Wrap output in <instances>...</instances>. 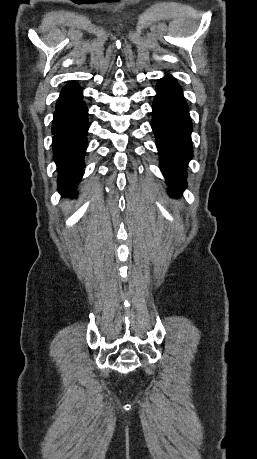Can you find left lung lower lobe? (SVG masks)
I'll return each instance as SVG.
<instances>
[{
	"label": "left lung lower lobe",
	"mask_w": 257,
	"mask_h": 459,
	"mask_svg": "<svg viewBox=\"0 0 257 459\" xmlns=\"http://www.w3.org/2000/svg\"><path fill=\"white\" fill-rule=\"evenodd\" d=\"M153 102L152 129L161 160V170L177 196L186 187V165L192 157V122L183 92L169 75L159 80Z\"/></svg>",
	"instance_id": "0a47b994"
}]
</instances>
